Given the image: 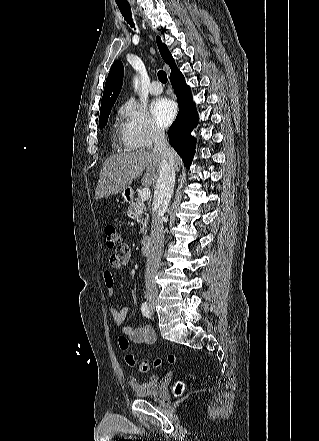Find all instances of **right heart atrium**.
Segmentation results:
<instances>
[{
  "label": "right heart atrium",
  "mask_w": 319,
  "mask_h": 441,
  "mask_svg": "<svg viewBox=\"0 0 319 441\" xmlns=\"http://www.w3.org/2000/svg\"><path fill=\"white\" fill-rule=\"evenodd\" d=\"M119 113L123 119L122 139L127 149L143 151L163 140V129L155 123L144 107L128 101L121 106Z\"/></svg>",
  "instance_id": "right-heart-atrium-1"
}]
</instances>
